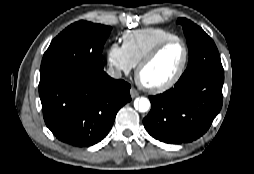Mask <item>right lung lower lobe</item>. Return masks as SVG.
<instances>
[{"label": "right lung lower lobe", "instance_id": "1", "mask_svg": "<svg viewBox=\"0 0 254 174\" xmlns=\"http://www.w3.org/2000/svg\"><path fill=\"white\" fill-rule=\"evenodd\" d=\"M130 84L101 71H81L39 86L44 121L60 141L88 147L106 137Z\"/></svg>", "mask_w": 254, "mask_h": 174}]
</instances>
